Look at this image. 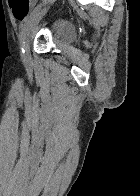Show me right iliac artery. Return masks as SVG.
I'll return each mask as SVG.
<instances>
[{
	"label": "right iliac artery",
	"instance_id": "right-iliac-artery-1",
	"mask_svg": "<svg viewBox=\"0 0 140 196\" xmlns=\"http://www.w3.org/2000/svg\"><path fill=\"white\" fill-rule=\"evenodd\" d=\"M40 6L36 7L30 14V16L25 20V23L20 31V44H21V50H22V54L24 53V38H25V33L28 29L29 23L31 21V19L37 14V12L39 11Z\"/></svg>",
	"mask_w": 140,
	"mask_h": 196
}]
</instances>
